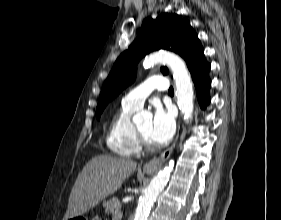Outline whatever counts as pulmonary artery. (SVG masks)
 <instances>
[{
    "label": "pulmonary artery",
    "mask_w": 281,
    "mask_h": 220,
    "mask_svg": "<svg viewBox=\"0 0 281 220\" xmlns=\"http://www.w3.org/2000/svg\"><path fill=\"white\" fill-rule=\"evenodd\" d=\"M168 80L163 76H152L129 91L124 97L123 102L127 105L140 109L145 100L154 90H167Z\"/></svg>",
    "instance_id": "pulmonary-artery-1"
}]
</instances>
